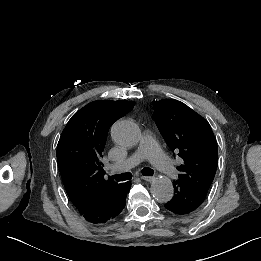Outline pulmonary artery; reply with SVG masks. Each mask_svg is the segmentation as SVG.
Returning <instances> with one entry per match:
<instances>
[{"mask_svg": "<svg viewBox=\"0 0 261 261\" xmlns=\"http://www.w3.org/2000/svg\"><path fill=\"white\" fill-rule=\"evenodd\" d=\"M144 141L136 151L127 159L111 166L112 173L125 172L142 160H149L161 172L169 183H176L181 178V173L175 168L174 163L160 149L157 141L148 130H144Z\"/></svg>", "mask_w": 261, "mask_h": 261, "instance_id": "obj_1", "label": "pulmonary artery"}]
</instances>
